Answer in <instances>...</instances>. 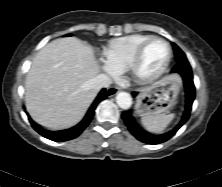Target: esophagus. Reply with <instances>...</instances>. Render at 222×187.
Returning a JSON list of instances; mask_svg holds the SVG:
<instances>
[{"mask_svg":"<svg viewBox=\"0 0 222 187\" xmlns=\"http://www.w3.org/2000/svg\"><path fill=\"white\" fill-rule=\"evenodd\" d=\"M119 91H120L119 87L113 86V87L108 88L107 95L109 97H112V96L116 95Z\"/></svg>","mask_w":222,"mask_h":187,"instance_id":"1","label":"esophagus"}]
</instances>
